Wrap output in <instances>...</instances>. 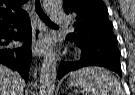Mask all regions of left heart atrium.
I'll return each instance as SVG.
<instances>
[{
  "label": "left heart atrium",
  "mask_w": 135,
  "mask_h": 95,
  "mask_svg": "<svg viewBox=\"0 0 135 95\" xmlns=\"http://www.w3.org/2000/svg\"><path fill=\"white\" fill-rule=\"evenodd\" d=\"M51 42L50 38H46L45 40L42 41V46L46 47L49 43Z\"/></svg>",
  "instance_id": "1"
}]
</instances>
